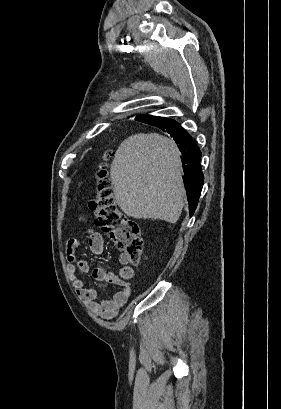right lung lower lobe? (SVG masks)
Listing matches in <instances>:
<instances>
[{
  "mask_svg": "<svg viewBox=\"0 0 281 409\" xmlns=\"http://www.w3.org/2000/svg\"><path fill=\"white\" fill-rule=\"evenodd\" d=\"M154 118L147 115H139L136 120L146 123ZM169 133L178 144L183 155V171L186 179V192L189 202V214L192 216L197 207L198 200L204 183V176L200 166L201 152L195 145L192 137L178 123L171 124L163 129Z\"/></svg>",
  "mask_w": 281,
  "mask_h": 409,
  "instance_id": "1",
  "label": "right lung lower lobe"
}]
</instances>
